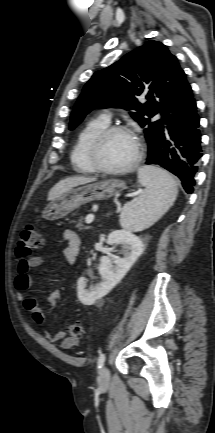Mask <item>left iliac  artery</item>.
Returning <instances> with one entry per match:
<instances>
[{"instance_id": "44dca946", "label": "left iliac artery", "mask_w": 215, "mask_h": 433, "mask_svg": "<svg viewBox=\"0 0 215 433\" xmlns=\"http://www.w3.org/2000/svg\"><path fill=\"white\" fill-rule=\"evenodd\" d=\"M105 362V354H100V356L98 357V361H97V368L101 369L104 365Z\"/></svg>"}]
</instances>
